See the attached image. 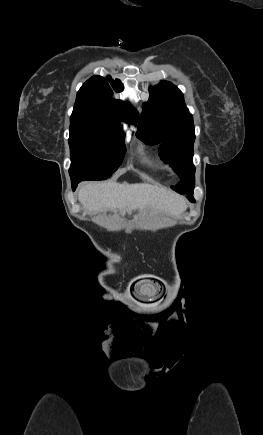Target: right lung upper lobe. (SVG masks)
I'll use <instances>...</instances> for the list:
<instances>
[{"label": "right lung upper lobe", "instance_id": "right-lung-upper-lobe-1", "mask_svg": "<svg viewBox=\"0 0 263 435\" xmlns=\"http://www.w3.org/2000/svg\"><path fill=\"white\" fill-rule=\"evenodd\" d=\"M121 92L124 89L120 80L111 77L94 76L87 80L77 93L76 102L70 119L80 118L102 125L121 129V121L136 124L137 111L129 104L112 98V89ZM124 107L125 110L120 112Z\"/></svg>", "mask_w": 263, "mask_h": 435}]
</instances>
